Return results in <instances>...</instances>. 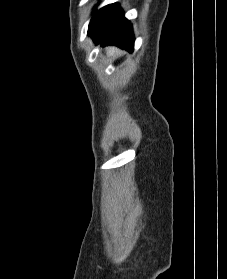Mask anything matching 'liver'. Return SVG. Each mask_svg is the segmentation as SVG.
<instances>
[{"mask_svg": "<svg viewBox=\"0 0 227 279\" xmlns=\"http://www.w3.org/2000/svg\"><path fill=\"white\" fill-rule=\"evenodd\" d=\"M107 51H108V53L111 54V55H113V54H115V53L118 52V50H117L116 48H114V47H109V48L107 49Z\"/></svg>", "mask_w": 227, "mask_h": 279, "instance_id": "obj_1", "label": "liver"}]
</instances>
